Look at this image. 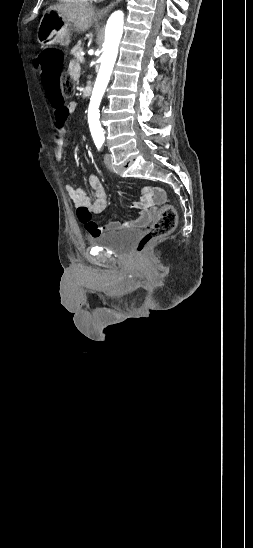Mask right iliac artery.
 Returning a JSON list of instances; mask_svg holds the SVG:
<instances>
[{
	"label": "right iliac artery",
	"mask_w": 253,
	"mask_h": 548,
	"mask_svg": "<svg viewBox=\"0 0 253 548\" xmlns=\"http://www.w3.org/2000/svg\"><path fill=\"white\" fill-rule=\"evenodd\" d=\"M95 144H96V147L98 148V150H101V148H102V142H101V141H97V142H95Z\"/></svg>",
	"instance_id": "1"
}]
</instances>
